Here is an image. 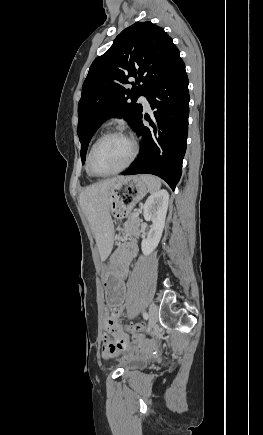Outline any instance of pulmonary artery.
<instances>
[{
	"instance_id": "1",
	"label": "pulmonary artery",
	"mask_w": 263,
	"mask_h": 435,
	"mask_svg": "<svg viewBox=\"0 0 263 435\" xmlns=\"http://www.w3.org/2000/svg\"><path fill=\"white\" fill-rule=\"evenodd\" d=\"M139 101L142 103V105L144 106L145 109H147V110L150 109V103H149L148 99L145 96H141L139 98Z\"/></svg>"
}]
</instances>
